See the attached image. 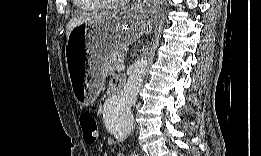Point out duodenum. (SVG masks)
Returning <instances> with one entry per match:
<instances>
[{
	"mask_svg": "<svg viewBox=\"0 0 261 156\" xmlns=\"http://www.w3.org/2000/svg\"><path fill=\"white\" fill-rule=\"evenodd\" d=\"M118 89H119V87L111 89V90H110V97L115 96V95L117 94V90H118Z\"/></svg>",
	"mask_w": 261,
	"mask_h": 156,
	"instance_id": "duodenum-1",
	"label": "duodenum"
}]
</instances>
